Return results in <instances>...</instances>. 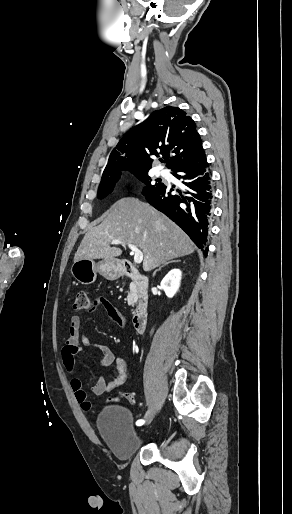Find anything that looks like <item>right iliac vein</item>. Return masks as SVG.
I'll return each mask as SVG.
<instances>
[{"instance_id":"63e3f726","label":"right iliac vein","mask_w":292,"mask_h":514,"mask_svg":"<svg viewBox=\"0 0 292 514\" xmlns=\"http://www.w3.org/2000/svg\"><path fill=\"white\" fill-rule=\"evenodd\" d=\"M152 416H153V410L152 409H149L145 415V418H146V421L147 423H149L152 419Z\"/></svg>"}]
</instances>
